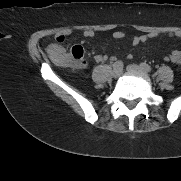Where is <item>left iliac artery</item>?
Here are the masks:
<instances>
[{"label": "left iliac artery", "instance_id": "44dca946", "mask_svg": "<svg viewBox=\"0 0 181 181\" xmlns=\"http://www.w3.org/2000/svg\"><path fill=\"white\" fill-rule=\"evenodd\" d=\"M140 67L142 69H144L145 71H147V72L151 71V67L148 64H146V63H141Z\"/></svg>", "mask_w": 181, "mask_h": 181}]
</instances>
